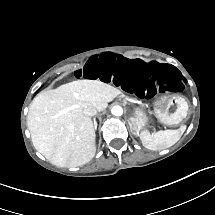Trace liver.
Segmentation results:
<instances>
[{
    "label": "liver",
    "mask_w": 215,
    "mask_h": 215,
    "mask_svg": "<svg viewBox=\"0 0 215 215\" xmlns=\"http://www.w3.org/2000/svg\"><path fill=\"white\" fill-rule=\"evenodd\" d=\"M118 88L100 80L82 79L42 91L30 103L27 126L34 148L51 163L76 167L95 154L94 129L85 116L86 106L98 112L121 94Z\"/></svg>",
    "instance_id": "liver-1"
}]
</instances>
